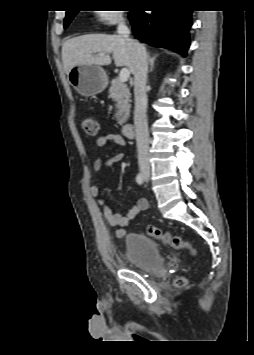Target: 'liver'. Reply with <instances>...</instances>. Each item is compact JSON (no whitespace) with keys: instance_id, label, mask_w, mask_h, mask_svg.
<instances>
[{"instance_id":"liver-1","label":"liver","mask_w":254,"mask_h":355,"mask_svg":"<svg viewBox=\"0 0 254 355\" xmlns=\"http://www.w3.org/2000/svg\"><path fill=\"white\" fill-rule=\"evenodd\" d=\"M110 53H113L117 67L125 66L134 73L135 54L132 45L119 35L106 34L83 35L65 41L62 45L64 71L68 74L81 64L109 65Z\"/></svg>"}]
</instances>
